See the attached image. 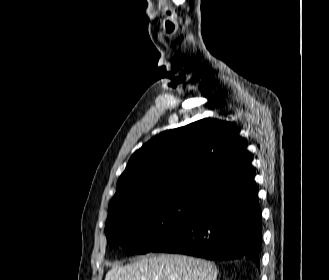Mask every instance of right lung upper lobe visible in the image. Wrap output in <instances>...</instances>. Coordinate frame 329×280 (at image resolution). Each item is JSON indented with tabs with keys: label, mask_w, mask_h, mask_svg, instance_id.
Instances as JSON below:
<instances>
[{
	"label": "right lung upper lobe",
	"mask_w": 329,
	"mask_h": 280,
	"mask_svg": "<svg viewBox=\"0 0 329 280\" xmlns=\"http://www.w3.org/2000/svg\"><path fill=\"white\" fill-rule=\"evenodd\" d=\"M251 160L231 123L205 118L167 130L130 158L109 206L153 197H201L220 177Z\"/></svg>",
	"instance_id": "cb5924a9"
}]
</instances>
